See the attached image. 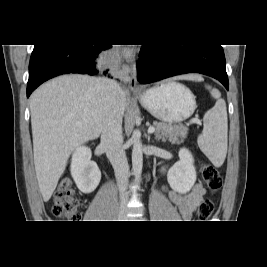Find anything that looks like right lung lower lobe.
Returning a JSON list of instances; mask_svg holds the SVG:
<instances>
[{"mask_svg":"<svg viewBox=\"0 0 267 267\" xmlns=\"http://www.w3.org/2000/svg\"><path fill=\"white\" fill-rule=\"evenodd\" d=\"M111 45H34L29 64L27 97L43 82L62 74L102 73L100 53ZM107 70L103 72L106 75Z\"/></svg>","mask_w":267,"mask_h":267,"instance_id":"98d812e1","label":"right lung lower lobe"}]
</instances>
